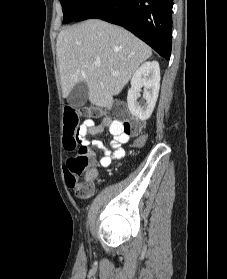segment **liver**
<instances>
[{
  "label": "liver",
  "mask_w": 227,
  "mask_h": 279,
  "mask_svg": "<svg viewBox=\"0 0 227 279\" xmlns=\"http://www.w3.org/2000/svg\"><path fill=\"white\" fill-rule=\"evenodd\" d=\"M57 59L63 97L85 81L89 101L111 109L130 78L151 55V48L126 29L89 19L62 30L57 37ZM99 61L100 66L94 65ZM116 72L117 74H113Z\"/></svg>",
  "instance_id": "obj_1"
}]
</instances>
